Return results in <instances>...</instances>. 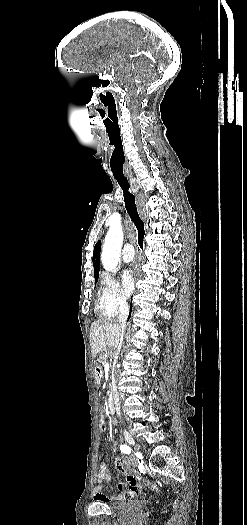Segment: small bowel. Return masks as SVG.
I'll return each mask as SVG.
<instances>
[{
	"label": "small bowel",
	"mask_w": 247,
	"mask_h": 525,
	"mask_svg": "<svg viewBox=\"0 0 247 525\" xmlns=\"http://www.w3.org/2000/svg\"><path fill=\"white\" fill-rule=\"evenodd\" d=\"M105 429V428H104ZM113 466L115 468H119L121 466V463L119 462V459H116V461L113 463ZM120 473L122 475L127 474V469L122 468L120 470ZM112 479V475L109 469V465L106 461H101L99 464V469L96 474V483L97 486L95 488V499L98 501H105L108 505L113 506L116 504L117 499H124L126 497V492H129L130 496L133 498H136L139 496L140 491L138 487L140 486V481L138 479H141V476H137L134 473H130L126 476V479H121L118 482L117 491L119 492L116 495H106L104 492V489L102 487V484L104 482H108ZM144 479H147V476H144Z\"/></svg>",
	"instance_id": "small-bowel-1"
}]
</instances>
